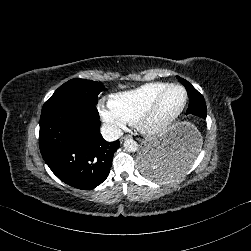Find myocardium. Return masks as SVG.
Wrapping results in <instances>:
<instances>
[{"instance_id":"myocardium-1","label":"myocardium","mask_w":251,"mask_h":251,"mask_svg":"<svg viewBox=\"0 0 251 251\" xmlns=\"http://www.w3.org/2000/svg\"><path fill=\"white\" fill-rule=\"evenodd\" d=\"M171 88L181 89L185 93V102L178 113V115L166 122V123H159L155 120V113L162 102L166 92ZM189 92L188 90L181 84L178 83H168L155 97V99L148 105L144 113L140 116V122L142 127L147 130L150 134H164L168 131L172 130L176 127L181 120L184 118L185 113L187 111L189 105Z\"/></svg>"}]
</instances>
